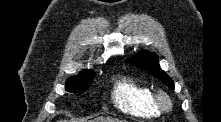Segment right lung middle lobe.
<instances>
[{"mask_svg":"<svg viewBox=\"0 0 221 122\" xmlns=\"http://www.w3.org/2000/svg\"><path fill=\"white\" fill-rule=\"evenodd\" d=\"M94 72L82 76H74L67 80L66 91L82 94L87 90L93 80Z\"/></svg>","mask_w":221,"mask_h":122,"instance_id":"obj_1","label":"right lung middle lobe"}]
</instances>
